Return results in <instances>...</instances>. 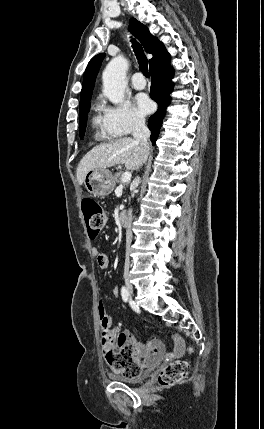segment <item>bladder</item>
I'll use <instances>...</instances> for the list:
<instances>
[{"mask_svg":"<svg viewBox=\"0 0 264 429\" xmlns=\"http://www.w3.org/2000/svg\"><path fill=\"white\" fill-rule=\"evenodd\" d=\"M149 375H150L149 371H144L133 377H126V376L112 374L110 375V378L113 379L114 381L121 382L124 384H137V383L143 382L146 378H148Z\"/></svg>","mask_w":264,"mask_h":429,"instance_id":"31cf9c89","label":"bladder"}]
</instances>
